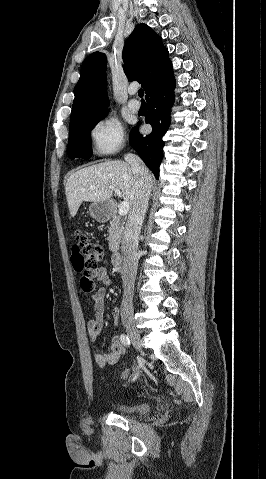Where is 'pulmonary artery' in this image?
I'll return each mask as SVG.
<instances>
[{
	"label": "pulmonary artery",
	"instance_id": "e3ab8cb5",
	"mask_svg": "<svg viewBox=\"0 0 266 479\" xmlns=\"http://www.w3.org/2000/svg\"><path fill=\"white\" fill-rule=\"evenodd\" d=\"M129 94L130 95H134L135 94V91L134 90H129ZM128 108L130 109V111L132 112H137L139 109H140V103L139 101H137L136 99H130L128 101Z\"/></svg>",
	"mask_w": 266,
	"mask_h": 479
}]
</instances>
